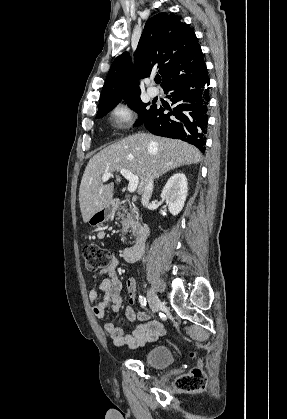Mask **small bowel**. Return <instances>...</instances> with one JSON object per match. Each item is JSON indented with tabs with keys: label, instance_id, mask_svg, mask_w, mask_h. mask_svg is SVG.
<instances>
[{
	"label": "small bowel",
	"instance_id": "1",
	"mask_svg": "<svg viewBox=\"0 0 287 419\" xmlns=\"http://www.w3.org/2000/svg\"><path fill=\"white\" fill-rule=\"evenodd\" d=\"M118 265L119 260L113 255L109 265L93 276V287L89 292V298L93 302V313L99 319L105 318L108 308H111L114 312H118L123 304L122 285L116 274ZM126 286L130 299V303L126 308V317L132 322L139 320L140 324L137 325L131 334L127 335L121 327L116 326L111 321L104 323V329L116 346H126L134 349L156 340L164 333V326L159 321L146 322L147 316L145 313L136 315L134 310L136 294L134 278H128ZM98 291L103 293L102 299H98Z\"/></svg>",
	"mask_w": 287,
	"mask_h": 419
}]
</instances>
